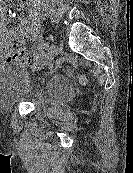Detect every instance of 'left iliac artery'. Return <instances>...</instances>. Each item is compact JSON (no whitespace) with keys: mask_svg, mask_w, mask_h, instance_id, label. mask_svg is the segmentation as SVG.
<instances>
[{"mask_svg":"<svg viewBox=\"0 0 133 173\" xmlns=\"http://www.w3.org/2000/svg\"><path fill=\"white\" fill-rule=\"evenodd\" d=\"M41 47L45 50L48 49V43L44 42V41H41Z\"/></svg>","mask_w":133,"mask_h":173,"instance_id":"obj_1","label":"left iliac artery"}]
</instances>
